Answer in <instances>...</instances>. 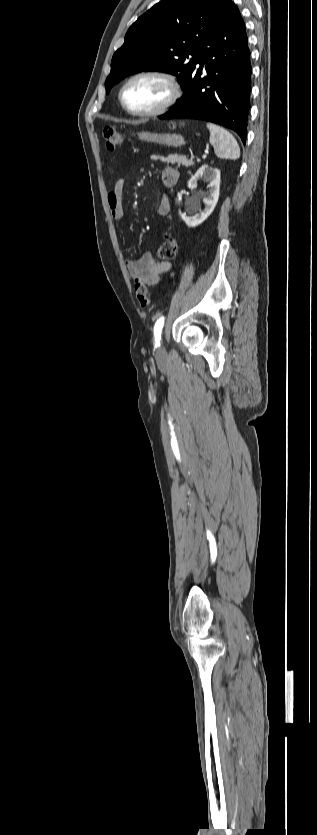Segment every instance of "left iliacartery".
Instances as JSON below:
<instances>
[{"instance_id": "44dca946", "label": "left iliac artery", "mask_w": 317, "mask_h": 835, "mask_svg": "<svg viewBox=\"0 0 317 835\" xmlns=\"http://www.w3.org/2000/svg\"><path fill=\"white\" fill-rule=\"evenodd\" d=\"M164 319H165L164 316L160 317L156 321L155 326H154V337H155V341H156V347L160 345L159 340L161 339V332H162V328H163V325H164Z\"/></svg>"}]
</instances>
